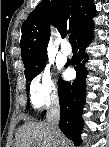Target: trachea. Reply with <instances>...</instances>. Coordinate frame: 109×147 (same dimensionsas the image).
Returning <instances> with one entry per match:
<instances>
[{
	"instance_id": "trachea-1",
	"label": "trachea",
	"mask_w": 109,
	"mask_h": 147,
	"mask_svg": "<svg viewBox=\"0 0 109 147\" xmlns=\"http://www.w3.org/2000/svg\"><path fill=\"white\" fill-rule=\"evenodd\" d=\"M69 42L72 46H77L76 38L74 34H70L69 36Z\"/></svg>"
}]
</instances>
